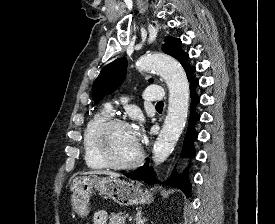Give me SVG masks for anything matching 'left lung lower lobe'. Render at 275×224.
I'll list each match as a JSON object with an SVG mask.
<instances>
[{"mask_svg":"<svg viewBox=\"0 0 275 224\" xmlns=\"http://www.w3.org/2000/svg\"><path fill=\"white\" fill-rule=\"evenodd\" d=\"M194 72L195 68L192 69L189 73H187V77L190 82L191 112L188 124V131L184 139L181 153V155L184 157L190 155L194 156L195 151L193 147V141L198 136L197 132L194 129V125L199 120V115L195 111V106L200 102V98L195 93V88L198 86V80L193 77ZM126 176L134 180H143L147 184L158 183L157 179L155 178L152 167H149V159H147L146 163L142 167H139L135 171L126 174ZM164 184H169L170 186L178 187L186 194V196L189 197L190 185L188 181L187 170L184 171L183 175H177V173L174 170L171 177L167 181H165Z\"/></svg>","mask_w":275,"mask_h":224,"instance_id":"obj_1","label":"left lung lower lobe"}]
</instances>
